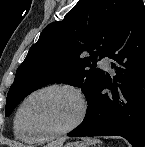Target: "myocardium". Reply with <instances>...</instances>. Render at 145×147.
Instances as JSON below:
<instances>
[{"instance_id": "1", "label": "myocardium", "mask_w": 145, "mask_h": 147, "mask_svg": "<svg viewBox=\"0 0 145 147\" xmlns=\"http://www.w3.org/2000/svg\"><path fill=\"white\" fill-rule=\"evenodd\" d=\"M53 90H63L70 92L73 94L76 99L78 100L79 103V112L76 116V118L66 127L52 131V132H46V133H40V134H34V135H29L30 138L33 141H39V140H45V139H50V138H56L59 136H63L65 134H68L69 132L73 131L75 128H77L85 119L86 114H87V102L85 99V96L81 92V90L73 85L70 84H65V83H55V84H50L43 86L41 88H38L31 93H29L20 103L16 115H15V124L19 128V130L22 131V126H21V115L23 112V109L26 105V103L33 98L34 96L41 94L43 92L47 91H53Z\"/></svg>"}]
</instances>
